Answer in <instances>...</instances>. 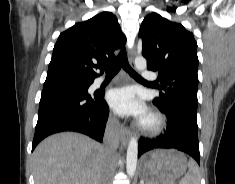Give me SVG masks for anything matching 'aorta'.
<instances>
[{"instance_id": "1", "label": "aorta", "mask_w": 235, "mask_h": 184, "mask_svg": "<svg viewBox=\"0 0 235 184\" xmlns=\"http://www.w3.org/2000/svg\"><path fill=\"white\" fill-rule=\"evenodd\" d=\"M134 64L136 70H139V72H143V70H146L147 68V62L145 58H141V56H137V58H135ZM137 158H138L137 138H130L127 148V156H126V172L128 176H134L136 172Z\"/></svg>"}]
</instances>
